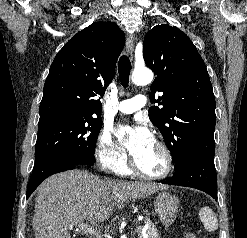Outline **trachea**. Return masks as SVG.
<instances>
[{"label": "trachea", "mask_w": 247, "mask_h": 238, "mask_svg": "<svg viewBox=\"0 0 247 238\" xmlns=\"http://www.w3.org/2000/svg\"><path fill=\"white\" fill-rule=\"evenodd\" d=\"M131 62L128 56L123 55L119 59L118 72L122 86L127 87L129 84V75L131 71Z\"/></svg>", "instance_id": "obj_1"}]
</instances>
